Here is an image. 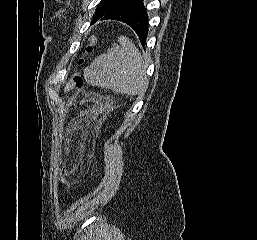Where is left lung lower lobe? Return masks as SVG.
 <instances>
[{
  "instance_id": "1",
  "label": "left lung lower lobe",
  "mask_w": 257,
  "mask_h": 240,
  "mask_svg": "<svg viewBox=\"0 0 257 240\" xmlns=\"http://www.w3.org/2000/svg\"><path fill=\"white\" fill-rule=\"evenodd\" d=\"M116 20L131 27L144 45L148 34V16L143 0H120L100 20Z\"/></svg>"
}]
</instances>
